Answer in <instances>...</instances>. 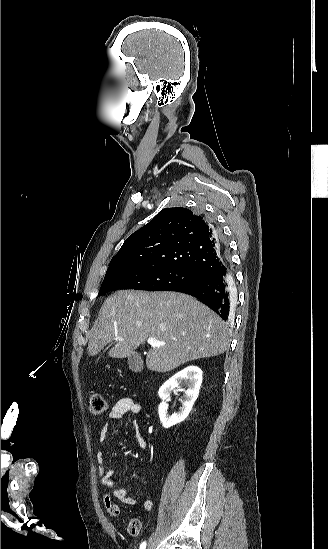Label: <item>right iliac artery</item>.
<instances>
[{
    "instance_id": "obj_1",
    "label": "right iliac artery",
    "mask_w": 328,
    "mask_h": 549,
    "mask_svg": "<svg viewBox=\"0 0 328 549\" xmlns=\"http://www.w3.org/2000/svg\"><path fill=\"white\" fill-rule=\"evenodd\" d=\"M145 548H146V542H143V543H141V545H140V548H139V549H145Z\"/></svg>"
}]
</instances>
